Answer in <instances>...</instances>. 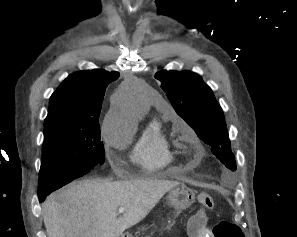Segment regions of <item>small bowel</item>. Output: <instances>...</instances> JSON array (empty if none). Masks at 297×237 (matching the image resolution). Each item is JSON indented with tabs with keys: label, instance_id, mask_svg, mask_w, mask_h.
Returning <instances> with one entry per match:
<instances>
[{
	"label": "small bowel",
	"instance_id": "small-bowel-1",
	"mask_svg": "<svg viewBox=\"0 0 297 237\" xmlns=\"http://www.w3.org/2000/svg\"><path fill=\"white\" fill-rule=\"evenodd\" d=\"M190 235H191V237H214L212 232L203 225L196 232H195L194 227L191 226Z\"/></svg>",
	"mask_w": 297,
	"mask_h": 237
}]
</instances>
